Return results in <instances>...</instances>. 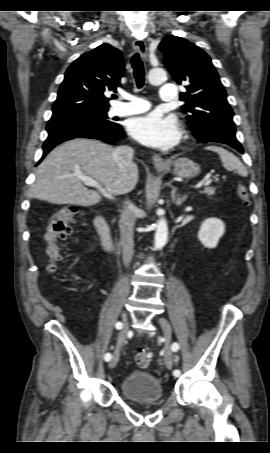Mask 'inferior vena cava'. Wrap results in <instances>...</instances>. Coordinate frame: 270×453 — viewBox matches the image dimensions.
<instances>
[{"instance_id": "602c4592", "label": "inferior vena cava", "mask_w": 270, "mask_h": 453, "mask_svg": "<svg viewBox=\"0 0 270 453\" xmlns=\"http://www.w3.org/2000/svg\"><path fill=\"white\" fill-rule=\"evenodd\" d=\"M134 150L128 146H120L114 149L113 158L120 168H126L133 162ZM123 211L120 215V244L122 247V257L125 266H128L133 257V237H134V205L130 201H126Z\"/></svg>"}]
</instances>
